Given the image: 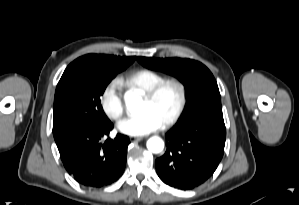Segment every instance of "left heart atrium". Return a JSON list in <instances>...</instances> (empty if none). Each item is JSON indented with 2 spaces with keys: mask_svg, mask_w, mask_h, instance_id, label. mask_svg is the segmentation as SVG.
<instances>
[{
  "mask_svg": "<svg viewBox=\"0 0 299 205\" xmlns=\"http://www.w3.org/2000/svg\"><path fill=\"white\" fill-rule=\"evenodd\" d=\"M161 126L162 122L155 114L144 111L119 122L118 129L123 134L140 137L158 130Z\"/></svg>",
  "mask_w": 299,
  "mask_h": 205,
  "instance_id": "obj_1",
  "label": "left heart atrium"
}]
</instances>
